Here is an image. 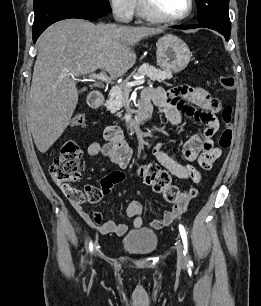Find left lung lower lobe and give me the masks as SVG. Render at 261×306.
Returning <instances> with one entry per match:
<instances>
[{"mask_svg":"<svg viewBox=\"0 0 261 306\" xmlns=\"http://www.w3.org/2000/svg\"><path fill=\"white\" fill-rule=\"evenodd\" d=\"M199 27H206V28H210V29H213L217 32H219L220 34H222L226 41L229 40L230 38V31H231V28H221V27H218V26H212V25H204V24H196V25H189V26H173V28H179V29H193V28H199Z\"/></svg>","mask_w":261,"mask_h":306,"instance_id":"obj_1","label":"left lung lower lobe"}]
</instances>
